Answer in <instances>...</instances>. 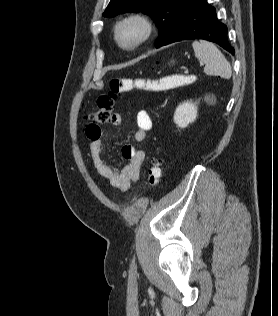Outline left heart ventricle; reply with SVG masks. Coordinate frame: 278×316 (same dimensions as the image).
Here are the masks:
<instances>
[{"mask_svg": "<svg viewBox=\"0 0 278 316\" xmlns=\"http://www.w3.org/2000/svg\"><path fill=\"white\" fill-rule=\"evenodd\" d=\"M137 34L138 29L135 26H127L120 32V36L125 42L132 41L137 36Z\"/></svg>", "mask_w": 278, "mask_h": 316, "instance_id": "1", "label": "left heart ventricle"}]
</instances>
